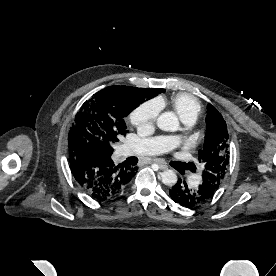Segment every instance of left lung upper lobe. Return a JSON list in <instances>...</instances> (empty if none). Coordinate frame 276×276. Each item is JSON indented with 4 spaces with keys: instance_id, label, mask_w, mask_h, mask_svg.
<instances>
[{
    "instance_id": "5c2ea615",
    "label": "left lung upper lobe",
    "mask_w": 276,
    "mask_h": 276,
    "mask_svg": "<svg viewBox=\"0 0 276 276\" xmlns=\"http://www.w3.org/2000/svg\"><path fill=\"white\" fill-rule=\"evenodd\" d=\"M207 107V133L198 159L204 165L203 182H209L216 191L225 177L229 164V136L221 114L211 104H208Z\"/></svg>"
}]
</instances>
